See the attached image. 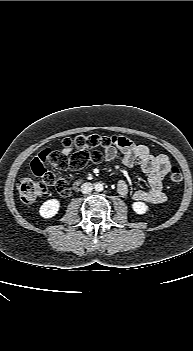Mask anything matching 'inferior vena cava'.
I'll return each instance as SVG.
<instances>
[{
    "mask_svg": "<svg viewBox=\"0 0 193 351\" xmlns=\"http://www.w3.org/2000/svg\"><path fill=\"white\" fill-rule=\"evenodd\" d=\"M93 190V185L90 182H86L81 186V192L83 194H89Z\"/></svg>",
    "mask_w": 193,
    "mask_h": 351,
    "instance_id": "inferior-vena-cava-1",
    "label": "inferior vena cava"
}]
</instances>
